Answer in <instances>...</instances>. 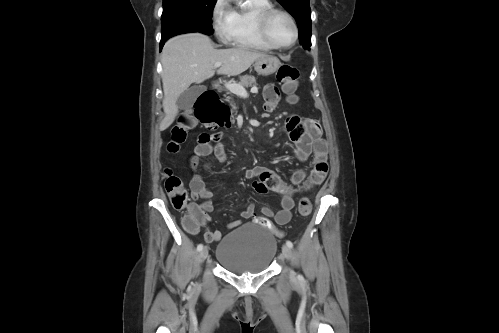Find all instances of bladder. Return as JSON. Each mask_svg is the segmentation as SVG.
Listing matches in <instances>:
<instances>
[{
  "label": "bladder",
  "mask_w": 499,
  "mask_h": 333,
  "mask_svg": "<svg viewBox=\"0 0 499 333\" xmlns=\"http://www.w3.org/2000/svg\"><path fill=\"white\" fill-rule=\"evenodd\" d=\"M277 241L263 227L247 223L227 233L218 243L216 260L234 274L265 272L272 264Z\"/></svg>",
  "instance_id": "1"
}]
</instances>
